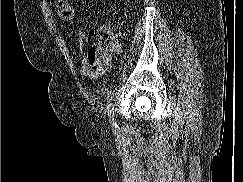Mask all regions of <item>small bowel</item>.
Returning a JSON list of instances; mask_svg holds the SVG:
<instances>
[{"instance_id": "small-bowel-1", "label": "small bowel", "mask_w": 243, "mask_h": 182, "mask_svg": "<svg viewBox=\"0 0 243 182\" xmlns=\"http://www.w3.org/2000/svg\"><path fill=\"white\" fill-rule=\"evenodd\" d=\"M88 35L79 31L77 35L78 50L80 54V73L89 79H98L104 76L111 68V59L100 58L87 52Z\"/></svg>"}]
</instances>
